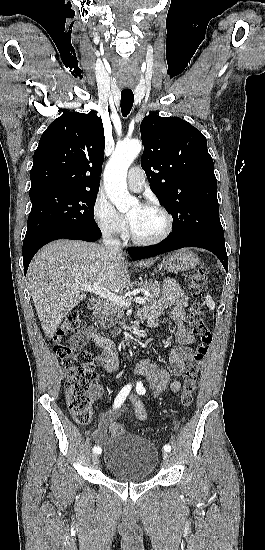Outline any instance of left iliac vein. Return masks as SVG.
Returning a JSON list of instances; mask_svg holds the SVG:
<instances>
[{"label":"left iliac vein","mask_w":265,"mask_h":550,"mask_svg":"<svg viewBox=\"0 0 265 550\" xmlns=\"http://www.w3.org/2000/svg\"><path fill=\"white\" fill-rule=\"evenodd\" d=\"M163 459H164V465H167L170 459V454L167 451L163 452Z\"/></svg>","instance_id":"left-iliac-vein-1"}]
</instances>
